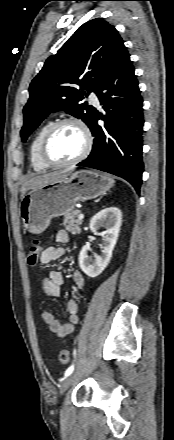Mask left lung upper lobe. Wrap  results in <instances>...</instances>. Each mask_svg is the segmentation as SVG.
Segmentation results:
<instances>
[{"mask_svg": "<svg viewBox=\"0 0 174 440\" xmlns=\"http://www.w3.org/2000/svg\"><path fill=\"white\" fill-rule=\"evenodd\" d=\"M124 48L118 31L105 20L96 18L80 26L32 80L30 98L23 109L22 140L26 141L53 111L65 110L88 125L95 108L79 102L88 93H97Z\"/></svg>", "mask_w": 174, "mask_h": 440, "instance_id": "5c2ea615", "label": "left lung upper lobe"}]
</instances>
